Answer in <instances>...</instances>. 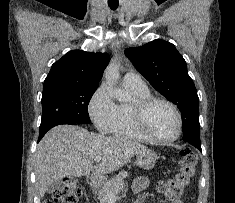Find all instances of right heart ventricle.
<instances>
[{
    "instance_id": "1",
    "label": "right heart ventricle",
    "mask_w": 235,
    "mask_h": 203,
    "mask_svg": "<svg viewBox=\"0 0 235 203\" xmlns=\"http://www.w3.org/2000/svg\"><path fill=\"white\" fill-rule=\"evenodd\" d=\"M126 87L132 91L135 99L151 96L148 88L139 89L131 86ZM109 132L117 138L133 139L139 141L146 140L134 127L130 113V104L127 103H120L117 105L116 117Z\"/></svg>"
}]
</instances>
